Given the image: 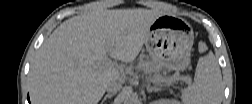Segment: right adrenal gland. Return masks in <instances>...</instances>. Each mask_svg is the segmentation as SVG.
I'll use <instances>...</instances> for the list:
<instances>
[{
	"label": "right adrenal gland",
	"instance_id": "right-adrenal-gland-1",
	"mask_svg": "<svg viewBox=\"0 0 252 104\" xmlns=\"http://www.w3.org/2000/svg\"><path fill=\"white\" fill-rule=\"evenodd\" d=\"M114 96V93L111 94H106L103 98V100L100 102V104H104L107 99H110L111 97Z\"/></svg>",
	"mask_w": 252,
	"mask_h": 104
}]
</instances>
